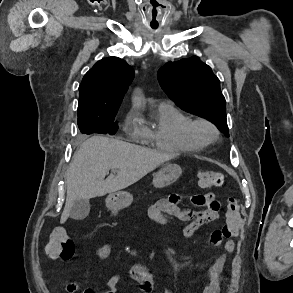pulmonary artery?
I'll use <instances>...</instances> for the list:
<instances>
[{"mask_svg": "<svg viewBox=\"0 0 293 293\" xmlns=\"http://www.w3.org/2000/svg\"><path fill=\"white\" fill-rule=\"evenodd\" d=\"M168 102H161L159 105H162V104H167Z\"/></svg>", "mask_w": 293, "mask_h": 293, "instance_id": "e3ab8cb5", "label": "pulmonary artery"}]
</instances>
